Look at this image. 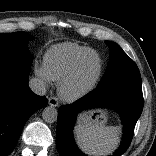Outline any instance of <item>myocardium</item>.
<instances>
[{
    "instance_id": "myocardium-1",
    "label": "myocardium",
    "mask_w": 156,
    "mask_h": 156,
    "mask_svg": "<svg viewBox=\"0 0 156 156\" xmlns=\"http://www.w3.org/2000/svg\"><path fill=\"white\" fill-rule=\"evenodd\" d=\"M89 56H95L98 59L97 75L89 85H87L82 89L75 90L73 89V84L80 73L81 67L86 62ZM102 76H103V61L99 56V54L98 53L85 54L75 63L74 67L69 72V74L63 80L60 81L58 87L59 96L65 102L74 103L86 97L91 92H93L100 83Z\"/></svg>"
}]
</instances>
